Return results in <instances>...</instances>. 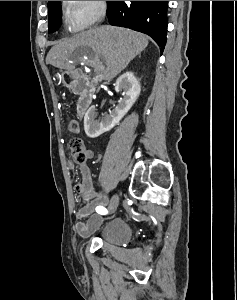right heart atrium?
<instances>
[{
  "label": "right heart atrium",
  "instance_id": "1",
  "mask_svg": "<svg viewBox=\"0 0 237 300\" xmlns=\"http://www.w3.org/2000/svg\"><path fill=\"white\" fill-rule=\"evenodd\" d=\"M64 18L69 29L80 32L103 20L106 1H62Z\"/></svg>",
  "mask_w": 237,
  "mask_h": 300
}]
</instances>
